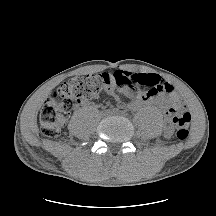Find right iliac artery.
Returning <instances> with one entry per match:
<instances>
[{
	"instance_id": "obj_1",
	"label": "right iliac artery",
	"mask_w": 216,
	"mask_h": 216,
	"mask_svg": "<svg viewBox=\"0 0 216 216\" xmlns=\"http://www.w3.org/2000/svg\"><path fill=\"white\" fill-rule=\"evenodd\" d=\"M118 111V109H113L111 112H117Z\"/></svg>"
}]
</instances>
